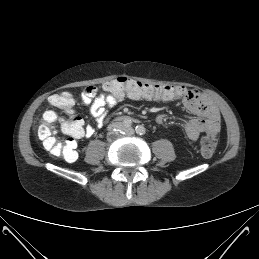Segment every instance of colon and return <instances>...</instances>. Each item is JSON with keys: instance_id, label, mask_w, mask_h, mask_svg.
Listing matches in <instances>:
<instances>
[{"instance_id": "5ec220e1", "label": "colon", "mask_w": 259, "mask_h": 259, "mask_svg": "<svg viewBox=\"0 0 259 259\" xmlns=\"http://www.w3.org/2000/svg\"><path fill=\"white\" fill-rule=\"evenodd\" d=\"M104 90L112 94L126 93L134 97L148 99L156 98L163 93V86L145 83L129 77H118L103 84ZM70 96L67 93L55 94L51 103L56 107L64 108L68 105ZM57 120L53 112H48L43 116V120L38 126V137L42 141L45 149L52 155L61 157L68 162L77 159L76 139L82 134L83 124L78 116H71L61 124V129L69 138L59 139L55 136L52 123ZM216 150V136L206 135L201 141V151L205 157H211Z\"/></svg>"}]
</instances>
